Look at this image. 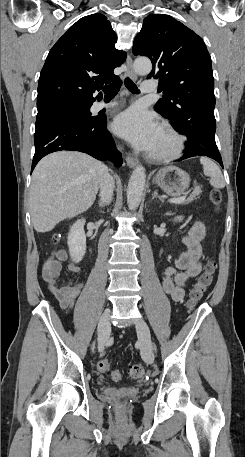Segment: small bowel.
I'll use <instances>...</instances> for the list:
<instances>
[{
	"label": "small bowel",
	"mask_w": 245,
	"mask_h": 457,
	"mask_svg": "<svg viewBox=\"0 0 245 457\" xmlns=\"http://www.w3.org/2000/svg\"><path fill=\"white\" fill-rule=\"evenodd\" d=\"M205 236V225L196 221L190 228L188 235L182 239L186 247L176 260L174 266H167L163 271L162 288L174 301H181L185 294L187 281L197 276L202 269L200 257L202 254L201 241ZM67 263L69 271L80 274L77 263L63 250L54 251L46 259L42 267L43 280L48 284L50 293L58 300L60 308L69 311L73 308L75 299L79 296L83 283L71 279L59 282L63 263Z\"/></svg>",
	"instance_id": "small-bowel-1"
}]
</instances>
